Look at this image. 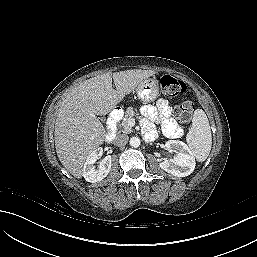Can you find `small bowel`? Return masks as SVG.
Listing matches in <instances>:
<instances>
[{
  "label": "small bowel",
  "mask_w": 257,
  "mask_h": 257,
  "mask_svg": "<svg viewBox=\"0 0 257 257\" xmlns=\"http://www.w3.org/2000/svg\"><path fill=\"white\" fill-rule=\"evenodd\" d=\"M142 112L148 119L160 122L167 136H178L181 133L175 120L171 118L172 109L166 99H159L155 105L143 106Z\"/></svg>",
  "instance_id": "c3829d8e"
}]
</instances>
